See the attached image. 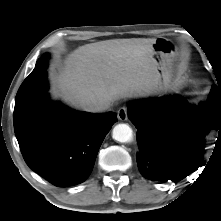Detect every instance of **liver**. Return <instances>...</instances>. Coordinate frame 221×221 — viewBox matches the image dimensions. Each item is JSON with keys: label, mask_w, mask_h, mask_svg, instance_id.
<instances>
[{"label": "liver", "mask_w": 221, "mask_h": 221, "mask_svg": "<svg viewBox=\"0 0 221 221\" xmlns=\"http://www.w3.org/2000/svg\"><path fill=\"white\" fill-rule=\"evenodd\" d=\"M154 38L113 39L86 44L71 52L56 76L59 95L72 106L143 97L155 92Z\"/></svg>", "instance_id": "obj_1"}]
</instances>
